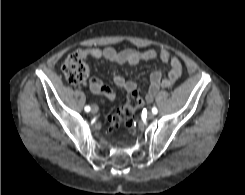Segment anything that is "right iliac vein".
Wrapping results in <instances>:
<instances>
[{
	"label": "right iliac vein",
	"mask_w": 245,
	"mask_h": 195,
	"mask_svg": "<svg viewBox=\"0 0 245 195\" xmlns=\"http://www.w3.org/2000/svg\"><path fill=\"white\" fill-rule=\"evenodd\" d=\"M91 112H92L93 114L97 113V112H98V106H97V105H93V106H92V109H91Z\"/></svg>",
	"instance_id": "1"
}]
</instances>
